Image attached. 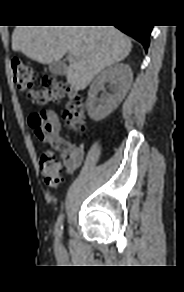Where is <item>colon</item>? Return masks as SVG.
<instances>
[{"instance_id": "obj_1", "label": "colon", "mask_w": 184, "mask_h": 292, "mask_svg": "<svg viewBox=\"0 0 184 292\" xmlns=\"http://www.w3.org/2000/svg\"><path fill=\"white\" fill-rule=\"evenodd\" d=\"M11 66L16 86L26 92V96L31 102L44 107L67 96L68 101L61 114L63 122L76 131H83L86 128L84 100L78 92L51 75L43 79L41 89L34 90L35 71L32 66L19 57L12 58ZM29 123L37 139L52 147V150L41 154L39 165L45 183L49 187L57 188L62 182L61 164L58 157L67 156L70 153V146L67 142L58 139V119L52 111L42 110L33 114Z\"/></svg>"}]
</instances>
